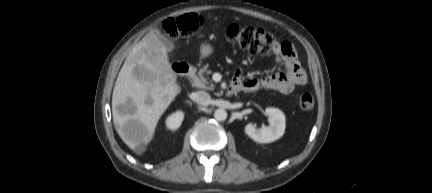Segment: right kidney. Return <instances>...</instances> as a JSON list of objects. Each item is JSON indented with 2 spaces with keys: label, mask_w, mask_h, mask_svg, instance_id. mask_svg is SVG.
Listing matches in <instances>:
<instances>
[{
  "label": "right kidney",
  "mask_w": 432,
  "mask_h": 193,
  "mask_svg": "<svg viewBox=\"0 0 432 193\" xmlns=\"http://www.w3.org/2000/svg\"><path fill=\"white\" fill-rule=\"evenodd\" d=\"M184 118V113L181 111L171 114L165 121L168 129L176 130L180 127Z\"/></svg>",
  "instance_id": "1"
}]
</instances>
